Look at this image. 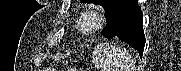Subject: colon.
<instances>
[{"instance_id": "obj_1", "label": "colon", "mask_w": 181, "mask_h": 71, "mask_svg": "<svg viewBox=\"0 0 181 71\" xmlns=\"http://www.w3.org/2000/svg\"><path fill=\"white\" fill-rule=\"evenodd\" d=\"M68 70H70V71H76L77 69H75V68H70V69H68Z\"/></svg>"}]
</instances>
